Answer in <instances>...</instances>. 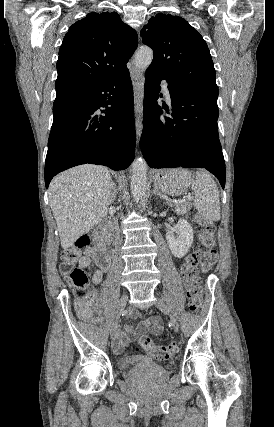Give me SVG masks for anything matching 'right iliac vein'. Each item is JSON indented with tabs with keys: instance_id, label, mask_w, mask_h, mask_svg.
Here are the masks:
<instances>
[{
	"instance_id": "obj_1",
	"label": "right iliac vein",
	"mask_w": 274,
	"mask_h": 427,
	"mask_svg": "<svg viewBox=\"0 0 274 427\" xmlns=\"http://www.w3.org/2000/svg\"><path fill=\"white\" fill-rule=\"evenodd\" d=\"M127 302H128V295L125 293V294L122 295V297L120 299V302H119V305H118V310H117V316H116V318H115V320H114V322L112 324V327H111V333H110V335H111V342H112V347L113 348L116 346V336H115V333H116L117 328H118V321H119L120 316L122 315L123 310L125 309V307L127 305Z\"/></svg>"
}]
</instances>
